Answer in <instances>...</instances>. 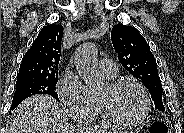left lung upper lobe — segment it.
I'll use <instances>...</instances> for the list:
<instances>
[{
    "mask_svg": "<svg viewBox=\"0 0 184 133\" xmlns=\"http://www.w3.org/2000/svg\"><path fill=\"white\" fill-rule=\"evenodd\" d=\"M111 40L122 66L149 89L155 107L165 110L162 85L154 55L137 29L123 24L113 26Z\"/></svg>",
    "mask_w": 184,
    "mask_h": 133,
    "instance_id": "1",
    "label": "left lung upper lobe"
}]
</instances>
